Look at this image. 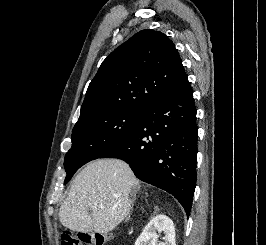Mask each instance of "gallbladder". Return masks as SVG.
<instances>
[{
	"mask_svg": "<svg viewBox=\"0 0 266 245\" xmlns=\"http://www.w3.org/2000/svg\"><path fill=\"white\" fill-rule=\"evenodd\" d=\"M90 217H92V213H89Z\"/></svg>",
	"mask_w": 266,
	"mask_h": 245,
	"instance_id": "obj_1",
	"label": "gallbladder"
}]
</instances>
